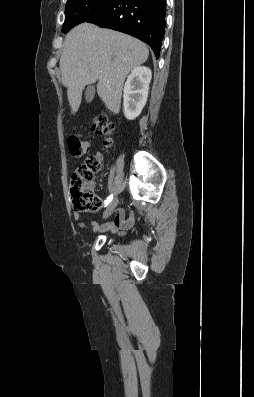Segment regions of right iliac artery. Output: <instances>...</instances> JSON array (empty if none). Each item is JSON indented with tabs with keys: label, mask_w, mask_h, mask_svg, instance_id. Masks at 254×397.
Instances as JSON below:
<instances>
[{
	"label": "right iliac artery",
	"mask_w": 254,
	"mask_h": 397,
	"mask_svg": "<svg viewBox=\"0 0 254 397\" xmlns=\"http://www.w3.org/2000/svg\"><path fill=\"white\" fill-rule=\"evenodd\" d=\"M113 199V195H110L107 197V199L105 200V206H107Z\"/></svg>",
	"instance_id": "82829eb1"
}]
</instances>
